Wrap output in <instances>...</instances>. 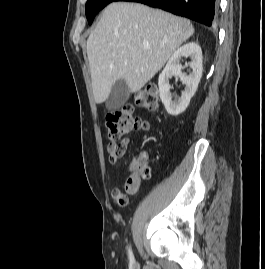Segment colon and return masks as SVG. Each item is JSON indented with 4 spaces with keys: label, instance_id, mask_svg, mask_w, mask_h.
I'll return each instance as SVG.
<instances>
[{
    "label": "colon",
    "instance_id": "5ec220e1",
    "mask_svg": "<svg viewBox=\"0 0 265 269\" xmlns=\"http://www.w3.org/2000/svg\"><path fill=\"white\" fill-rule=\"evenodd\" d=\"M159 95L155 86H147L136 95L137 106L154 112L158 108ZM145 120L134 115L132 105H125L116 110L110 111L106 115V135L108 140L116 141L134 130H142L145 127ZM131 176L138 179H148L150 168L147 164L146 156L138 154L131 164Z\"/></svg>",
    "mask_w": 265,
    "mask_h": 269
}]
</instances>
